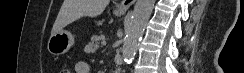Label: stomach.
Segmentation results:
<instances>
[{"label": "stomach", "instance_id": "0dacf381", "mask_svg": "<svg viewBox=\"0 0 244 73\" xmlns=\"http://www.w3.org/2000/svg\"><path fill=\"white\" fill-rule=\"evenodd\" d=\"M124 11L116 12L122 14ZM74 44L73 35L65 30H61L50 36L47 44V49L52 55H62L67 53Z\"/></svg>", "mask_w": 244, "mask_h": 73}]
</instances>
